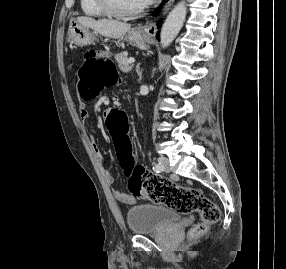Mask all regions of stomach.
Here are the masks:
<instances>
[{
    "label": "stomach",
    "mask_w": 286,
    "mask_h": 269,
    "mask_svg": "<svg viewBox=\"0 0 286 269\" xmlns=\"http://www.w3.org/2000/svg\"><path fill=\"white\" fill-rule=\"evenodd\" d=\"M67 40L70 44L82 47L93 43L96 38L94 33L87 27L72 20L69 24ZM124 40L129 41L132 45L142 50H147L149 48L148 39L144 33L137 28L129 30Z\"/></svg>",
    "instance_id": "stomach-1"
}]
</instances>
